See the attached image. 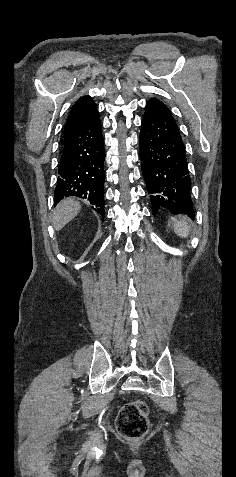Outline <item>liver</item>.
Returning a JSON list of instances; mask_svg holds the SVG:
<instances>
[{
	"mask_svg": "<svg viewBox=\"0 0 236 477\" xmlns=\"http://www.w3.org/2000/svg\"><path fill=\"white\" fill-rule=\"evenodd\" d=\"M80 208V203L70 198L60 201L54 210L52 221L55 230H61L67 223L73 220L79 213Z\"/></svg>",
	"mask_w": 236,
	"mask_h": 477,
	"instance_id": "6515ba94",
	"label": "liver"
}]
</instances>
